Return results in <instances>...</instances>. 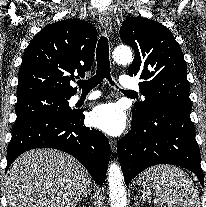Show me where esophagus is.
Instances as JSON below:
<instances>
[{"label":"esophagus","instance_id":"34e87169","mask_svg":"<svg viewBox=\"0 0 206 207\" xmlns=\"http://www.w3.org/2000/svg\"><path fill=\"white\" fill-rule=\"evenodd\" d=\"M99 22L105 32L106 35H110L111 31H112V20L111 17L109 16L108 13H102L99 16ZM109 144H110V148L112 153H116L117 150V140L110 138L109 139Z\"/></svg>","mask_w":206,"mask_h":207}]
</instances>
